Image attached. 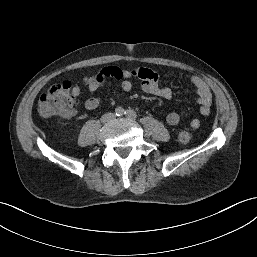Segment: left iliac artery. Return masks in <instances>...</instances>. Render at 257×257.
I'll list each match as a JSON object with an SVG mask.
<instances>
[{"label":"left iliac artery","mask_w":257,"mask_h":257,"mask_svg":"<svg viewBox=\"0 0 257 257\" xmlns=\"http://www.w3.org/2000/svg\"><path fill=\"white\" fill-rule=\"evenodd\" d=\"M124 114L131 119H135L137 117L136 112L132 109H127Z\"/></svg>","instance_id":"1"}]
</instances>
